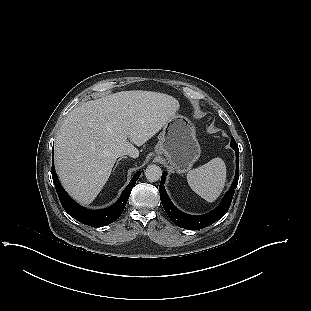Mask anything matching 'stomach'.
Returning a JSON list of instances; mask_svg holds the SVG:
<instances>
[{"instance_id":"0dacf381","label":"stomach","mask_w":311,"mask_h":311,"mask_svg":"<svg viewBox=\"0 0 311 311\" xmlns=\"http://www.w3.org/2000/svg\"><path fill=\"white\" fill-rule=\"evenodd\" d=\"M155 153L164 155L177 173L190 170L201 153L191 121L182 115H175L168 121L163 126Z\"/></svg>"}]
</instances>
